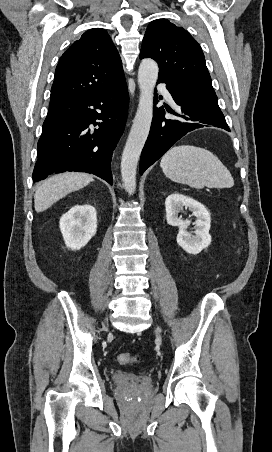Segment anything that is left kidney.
<instances>
[{"label":"left kidney","mask_w":272,"mask_h":452,"mask_svg":"<svg viewBox=\"0 0 272 452\" xmlns=\"http://www.w3.org/2000/svg\"><path fill=\"white\" fill-rule=\"evenodd\" d=\"M184 207L192 211V215L196 217L193 223L195 225L194 235L187 231L191 221L189 219L183 220L178 216ZM165 208L167 223L179 228L177 243L186 252L196 255L210 245L211 217L203 204L185 195L173 193L166 198Z\"/></svg>","instance_id":"left-kidney-1"}]
</instances>
